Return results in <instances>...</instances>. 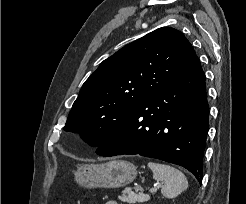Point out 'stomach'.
I'll use <instances>...</instances> for the list:
<instances>
[{"label": "stomach", "mask_w": 246, "mask_h": 204, "mask_svg": "<svg viewBox=\"0 0 246 204\" xmlns=\"http://www.w3.org/2000/svg\"><path fill=\"white\" fill-rule=\"evenodd\" d=\"M76 182L85 188H119L130 184L137 176V167L126 160L102 164L78 165Z\"/></svg>", "instance_id": "0dacf381"}]
</instances>
